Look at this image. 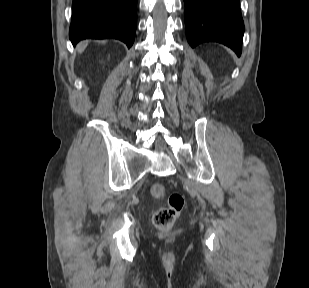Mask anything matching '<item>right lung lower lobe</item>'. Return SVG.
Returning <instances> with one entry per match:
<instances>
[{
    "label": "right lung lower lobe",
    "instance_id": "1",
    "mask_svg": "<svg viewBox=\"0 0 309 288\" xmlns=\"http://www.w3.org/2000/svg\"><path fill=\"white\" fill-rule=\"evenodd\" d=\"M136 6L137 0H73L72 44L86 38H115L130 48L135 38Z\"/></svg>",
    "mask_w": 309,
    "mask_h": 288
}]
</instances>
